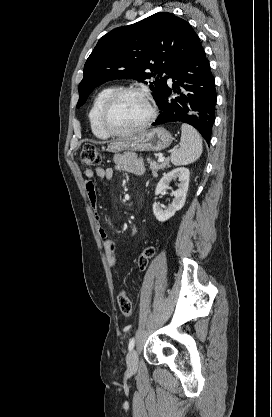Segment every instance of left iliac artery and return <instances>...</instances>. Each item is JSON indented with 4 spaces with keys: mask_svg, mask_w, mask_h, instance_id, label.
Wrapping results in <instances>:
<instances>
[{
    "mask_svg": "<svg viewBox=\"0 0 272 417\" xmlns=\"http://www.w3.org/2000/svg\"><path fill=\"white\" fill-rule=\"evenodd\" d=\"M134 344H135V339L132 338L129 342V345H128L129 351H131L134 348Z\"/></svg>",
    "mask_w": 272,
    "mask_h": 417,
    "instance_id": "obj_1",
    "label": "left iliac artery"
}]
</instances>
